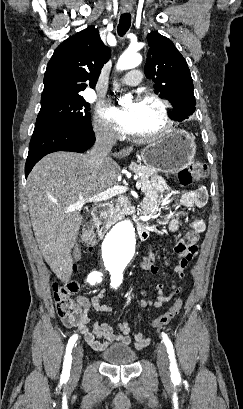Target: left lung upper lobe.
Segmentation results:
<instances>
[{"label":"left lung upper lobe","mask_w":243,"mask_h":409,"mask_svg":"<svg viewBox=\"0 0 243 409\" xmlns=\"http://www.w3.org/2000/svg\"><path fill=\"white\" fill-rule=\"evenodd\" d=\"M147 39L150 49L144 70L146 77L154 81L156 93L171 102L174 119L193 114L194 86L186 60L173 42L158 32H151Z\"/></svg>","instance_id":"obj_1"}]
</instances>
